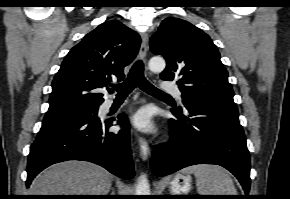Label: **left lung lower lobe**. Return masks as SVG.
I'll return each mask as SVG.
<instances>
[{"label":"left lung lower lobe","instance_id":"obj_1","mask_svg":"<svg viewBox=\"0 0 290 199\" xmlns=\"http://www.w3.org/2000/svg\"><path fill=\"white\" fill-rule=\"evenodd\" d=\"M172 109L171 139L158 145L151 160L152 173L165 176L195 164H217L240 181L247 198L250 189V157L238 111H228L200 102Z\"/></svg>","mask_w":290,"mask_h":199}]
</instances>
